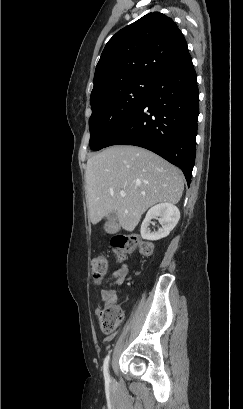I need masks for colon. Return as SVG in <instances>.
Returning a JSON list of instances; mask_svg holds the SVG:
<instances>
[{
	"instance_id": "1",
	"label": "colon",
	"mask_w": 243,
	"mask_h": 409,
	"mask_svg": "<svg viewBox=\"0 0 243 409\" xmlns=\"http://www.w3.org/2000/svg\"><path fill=\"white\" fill-rule=\"evenodd\" d=\"M110 245L120 260L127 254L132 253L138 247L139 253L143 256H150L153 253V244L141 241L138 236H114ZM108 263L104 258H95L91 263V275L96 283H99L107 274ZM100 328L104 333H112L123 318V312L113 301H102L98 309Z\"/></svg>"
}]
</instances>
